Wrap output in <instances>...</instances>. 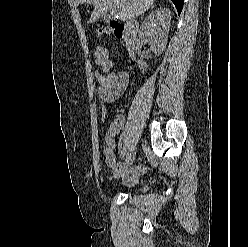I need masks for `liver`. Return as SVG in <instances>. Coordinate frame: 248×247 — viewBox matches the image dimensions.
I'll use <instances>...</instances> for the list:
<instances>
[{
	"instance_id": "6515ba94",
	"label": "liver",
	"mask_w": 248,
	"mask_h": 247,
	"mask_svg": "<svg viewBox=\"0 0 248 247\" xmlns=\"http://www.w3.org/2000/svg\"><path fill=\"white\" fill-rule=\"evenodd\" d=\"M155 0H75V4H93L89 22L97 21L109 10L118 13L124 21L134 19L153 6Z\"/></svg>"
}]
</instances>
